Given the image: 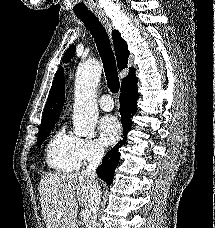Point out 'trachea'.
<instances>
[{
    "label": "trachea",
    "instance_id": "3493384b",
    "mask_svg": "<svg viewBox=\"0 0 215 228\" xmlns=\"http://www.w3.org/2000/svg\"><path fill=\"white\" fill-rule=\"evenodd\" d=\"M77 17L82 20L87 30H89L92 37L94 38L102 59L108 88L112 93H117L120 86L117 66L105 28L92 13L77 14Z\"/></svg>",
    "mask_w": 215,
    "mask_h": 228
}]
</instances>
